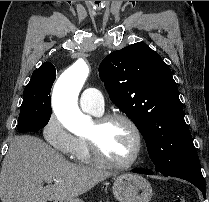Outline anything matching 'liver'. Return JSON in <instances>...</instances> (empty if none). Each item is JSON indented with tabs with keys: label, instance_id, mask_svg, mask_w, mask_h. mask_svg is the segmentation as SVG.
I'll return each mask as SVG.
<instances>
[{
	"label": "liver",
	"instance_id": "obj_1",
	"mask_svg": "<svg viewBox=\"0 0 209 202\" xmlns=\"http://www.w3.org/2000/svg\"><path fill=\"white\" fill-rule=\"evenodd\" d=\"M112 174L76 165L38 137L16 136L10 143L0 173L2 202H47L75 198ZM46 178L55 180L43 187Z\"/></svg>",
	"mask_w": 209,
	"mask_h": 202
}]
</instances>
